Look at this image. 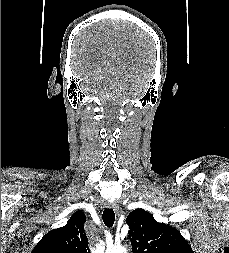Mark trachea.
I'll use <instances>...</instances> for the list:
<instances>
[{
    "label": "trachea",
    "mask_w": 229,
    "mask_h": 253,
    "mask_svg": "<svg viewBox=\"0 0 229 253\" xmlns=\"http://www.w3.org/2000/svg\"><path fill=\"white\" fill-rule=\"evenodd\" d=\"M102 218H103L104 224H105L108 228L112 227L113 224H114V221H115V213H114V210H113V209H110V208H106V209L103 211Z\"/></svg>",
    "instance_id": "3493384b"
}]
</instances>
